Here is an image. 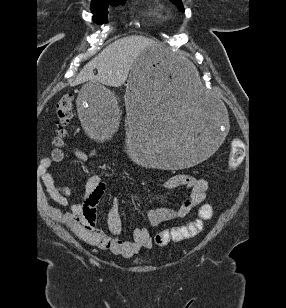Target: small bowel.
Listing matches in <instances>:
<instances>
[{
  "label": "small bowel",
  "instance_id": "c3829d8e",
  "mask_svg": "<svg viewBox=\"0 0 286 308\" xmlns=\"http://www.w3.org/2000/svg\"><path fill=\"white\" fill-rule=\"evenodd\" d=\"M74 152L81 158H87L92 154V152L81 153L77 150ZM51 163V160L46 158L40 165L43 183L52 201L60 206H67L71 192L68 188L55 181L50 172ZM164 185L167 189L186 187L189 190V194L177 208L159 207L149 210L147 219L152 227L169 220L186 217L204 201L208 189L206 180L184 173L172 176ZM106 192V182L100 176L92 175L86 181L81 202L72 204L66 213H61L52 206L48 207V211L51 216L61 219L83 241L100 248L109 249L116 255L132 257L142 249L151 248L152 239L147 228H136L133 231L132 241H124L119 238L122 232V222L117 198L112 200L107 214L109 234L97 228L96 208Z\"/></svg>",
  "mask_w": 286,
  "mask_h": 308
}]
</instances>
